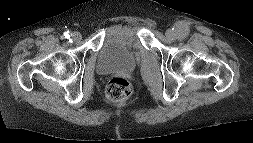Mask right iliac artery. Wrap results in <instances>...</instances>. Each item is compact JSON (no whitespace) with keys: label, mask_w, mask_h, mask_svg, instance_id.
<instances>
[{"label":"right iliac artery","mask_w":253,"mask_h":143,"mask_svg":"<svg viewBox=\"0 0 253 143\" xmlns=\"http://www.w3.org/2000/svg\"><path fill=\"white\" fill-rule=\"evenodd\" d=\"M64 36H65V38H70V33H69V31L65 32V33H64Z\"/></svg>","instance_id":"right-iliac-artery-1"}]
</instances>
